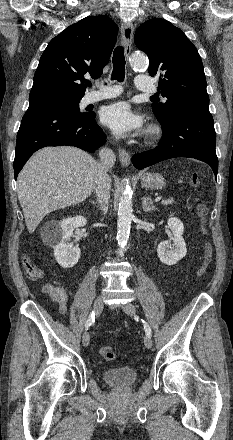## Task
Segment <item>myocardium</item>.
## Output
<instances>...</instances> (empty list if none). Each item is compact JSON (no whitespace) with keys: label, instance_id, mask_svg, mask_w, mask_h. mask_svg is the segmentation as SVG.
I'll list each match as a JSON object with an SVG mask.
<instances>
[{"label":"myocardium","instance_id":"obj_1","mask_svg":"<svg viewBox=\"0 0 233 440\" xmlns=\"http://www.w3.org/2000/svg\"><path fill=\"white\" fill-rule=\"evenodd\" d=\"M160 128L157 126H152L148 129L146 134V139L148 142L156 140L160 135Z\"/></svg>","mask_w":233,"mask_h":440}]
</instances>
